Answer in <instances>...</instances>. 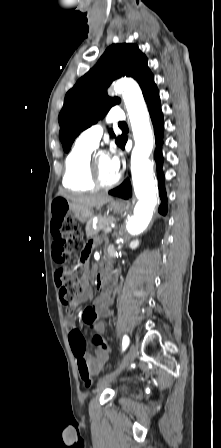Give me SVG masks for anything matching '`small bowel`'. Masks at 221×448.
<instances>
[{"instance_id": "obj_1", "label": "small bowel", "mask_w": 221, "mask_h": 448, "mask_svg": "<svg viewBox=\"0 0 221 448\" xmlns=\"http://www.w3.org/2000/svg\"><path fill=\"white\" fill-rule=\"evenodd\" d=\"M53 217L54 214L52 213V222H51V231H52V235H53V255L56 252V244L58 242V236L56 234V230L58 228V224H53ZM81 285H82V292L81 295L75 300V302L67 307V314H68V318L66 319V327L70 336V333L75 330L74 326H73V313H74V307L83 302L88 296H89V287H88V283L86 280V277H82L81 280ZM111 303V299L110 296L108 295L107 292L103 291L100 296H98L94 302H93V306L92 308L95 310V312L97 313V317H107L109 315V306ZM97 318V321L94 325L95 330L98 333H103L105 330V326L104 323L99 320ZM82 336V334H81ZM83 338V336H82ZM84 339V338H83ZM70 342V340H69ZM84 344L86 346V343L84 341ZM71 346V350L73 355L75 356V358L77 359L75 353H74V349L70 343ZM86 351V350H85ZM111 352V348L105 343L104 347H98L96 349V352L94 355H88L86 354V352L84 353V358L87 361L90 370L92 371V373L94 374H98L103 366L107 363L108 358H109V354Z\"/></svg>"}]
</instances>
